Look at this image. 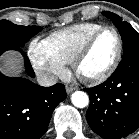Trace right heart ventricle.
<instances>
[{
    "instance_id": "e07e8e85",
    "label": "right heart ventricle",
    "mask_w": 139,
    "mask_h": 139,
    "mask_svg": "<svg viewBox=\"0 0 139 139\" xmlns=\"http://www.w3.org/2000/svg\"><path fill=\"white\" fill-rule=\"evenodd\" d=\"M102 24L85 22L56 31L44 39L49 50L65 64L72 63L77 51Z\"/></svg>"
}]
</instances>
